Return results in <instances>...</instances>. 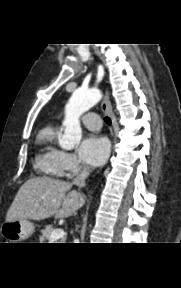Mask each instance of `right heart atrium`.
Returning <instances> with one entry per match:
<instances>
[{
  "label": "right heart atrium",
  "instance_id": "1",
  "mask_svg": "<svg viewBox=\"0 0 181 288\" xmlns=\"http://www.w3.org/2000/svg\"><path fill=\"white\" fill-rule=\"evenodd\" d=\"M82 164L75 155L69 152H61V164L57 176L71 177L82 171Z\"/></svg>",
  "mask_w": 181,
  "mask_h": 288
}]
</instances>
